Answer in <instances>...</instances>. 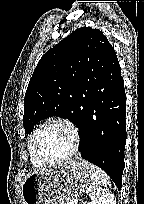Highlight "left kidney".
<instances>
[{
	"instance_id": "5707ae66",
	"label": "left kidney",
	"mask_w": 144,
	"mask_h": 204,
	"mask_svg": "<svg viewBox=\"0 0 144 204\" xmlns=\"http://www.w3.org/2000/svg\"><path fill=\"white\" fill-rule=\"evenodd\" d=\"M88 204H116V199L114 197V194L107 193L102 198L93 200Z\"/></svg>"
}]
</instances>
